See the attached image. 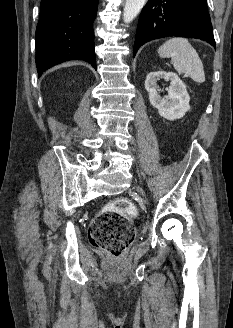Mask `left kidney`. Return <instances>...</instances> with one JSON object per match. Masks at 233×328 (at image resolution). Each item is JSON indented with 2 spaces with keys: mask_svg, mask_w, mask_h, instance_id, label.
Listing matches in <instances>:
<instances>
[{
  "mask_svg": "<svg viewBox=\"0 0 233 328\" xmlns=\"http://www.w3.org/2000/svg\"><path fill=\"white\" fill-rule=\"evenodd\" d=\"M160 79L171 81L166 98H162L157 91V81ZM145 89L149 93L151 105L158 109L161 117L167 120L180 119L190 110V97L186 86L178 75L173 72H150L145 80Z\"/></svg>",
  "mask_w": 233,
  "mask_h": 328,
  "instance_id": "obj_1",
  "label": "left kidney"
}]
</instances>
